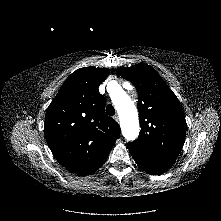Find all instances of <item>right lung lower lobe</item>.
Masks as SVG:
<instances>
[{
  "label": "right lung lower lobe",
  "instance_id": "obj_1",
  "mask_svg": "<svg viewBox=\"0 0 221 221\" xmlns=\"http://www.w3.org/2000/svg\"><path fill=\"white\" fill-rule=\"evenodd\" d=\"M108 156H106L105 158H103L97 165H95L94 167L88 169V170H85V171H82L80 173H77L78 175H81V176H85V175H89L93 172H95L98 168H100L104 162L106 161Z\"/></svg>",
  "mask_w": 221,
  "mask_h": 221
}]
</instances>
